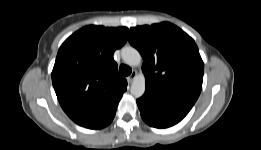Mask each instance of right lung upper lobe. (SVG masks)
<instances>
[{"mask_svg": "<svg viewBox=\"0 0 261 150\" xmlns=\"http://www.w3.org/2000/svg\"><path fill=\"white\" fill-rule=\"evenodd\" d=\"M125 27L87 26L60 47L52 82L65 113L86 127L118 105L127 82L118 73L113 53L127 41Z\"/></svg>", "mask_w": 261, "mask_h": 150, "instance_id": "cb5924a9", "label": "right lung upper lobe"}]
</instances>
